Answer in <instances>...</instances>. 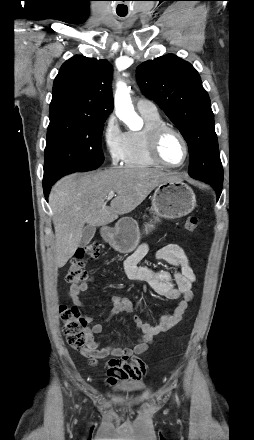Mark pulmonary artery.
<instances>
[{"instance_id": "obj_1", "label": "pulmonary artery", "mask_w": 254, "mask_h": 440, "mask_svg": "<svg viewBox=\"0 0 254 440\" xmlns=\"http://www.w3.org/2000/svg\"><path fill=\"white\" fill-rule=\"evenodd\" d=\"M136 107L140 113L154 114L158 112L157 107L153 102L142 98L138 99Z\"/></svg>"}]
</instances>
